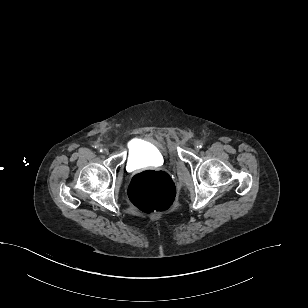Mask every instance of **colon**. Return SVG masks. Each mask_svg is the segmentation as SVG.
I'll return each mask as SVG.
<instances>
[{"label":"colon","instance_id":"1","mask_svg":"<svg viewBox=\"0 0 308 308\" xmlns=\"http://www.w3.org/2000/svg\"><path fill=\"white\" fill-rule=\"evenodd\" d=\"M128 196L137 209L145 213H159L172 205L175 186L167 173L146 171L133 177Z\"/></svg>","mask_w":308,"mask_h":308}]
</instances>
